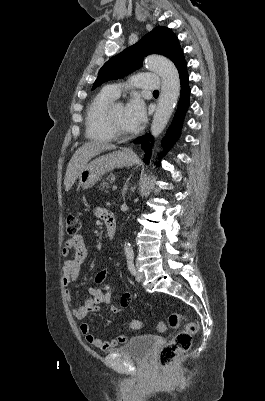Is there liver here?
<instances>
[{
	"label": "liver",
	"mask_w": 265,
	"mask_h": 401,
	"mask_svg": "<svg viewBox=\"0 0 265 401\" xmlns=\"http://www.w3.org/2000/svg\"><path fill=\"white\" fill-rule=\"evenodd\" d=\"M111 148H116L115 144L105 142V140H101V142L99 140H89V142H85L80 148H77L68 162L64 180L65 190H70L81 170L85 168L91 158H94L100 152H104V150H111Z\"/></svg>",
	"instance_id": "6515ba94"
}]
</instances>
